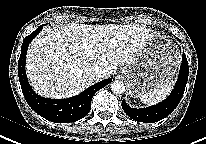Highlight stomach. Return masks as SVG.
<instances>
[{
  "label": "stomach",
  "instance_id": "0dacf381",
  "mask_svg": "<svg viewBox=\"0 0 206 144\" xmlns=\"http://www.w3.org/2000/svg\"><path fill=\"white\" fill-rule=\"evenodd\" d=\"M179 59V52L170 40L150 34L137 58L121 69L131 97L140 98L171 80Z\"/></svg>",
  "mask_w": 206,
  "mask_h": 144
}]
</instances>
